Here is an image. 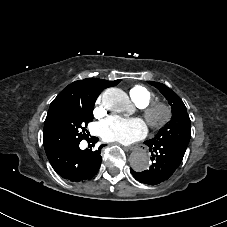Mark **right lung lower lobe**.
Returning a JSON list of instances; mask_svg holds the SVG:
<instances>
[{
    "label": "right lung lower lobe",
    "mask_w": 227,
    "mask_h": 227,
    "mask_svg": "<svg viewBox=\"0 0 227 227\" xmlns=\"http://www.w3.org/2000/svg\"><path fill=\"white\" fill-rule=\"evenodd\" d=\"M79 143L67 144L47 153L53 169L63 178L74 182L91 179L101 165V147L95 151L81 150Z\"/></svg>",
    "instance_id": "1"
}]
</instances>
